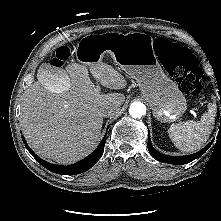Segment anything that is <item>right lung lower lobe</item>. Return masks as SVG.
I'll use <instances>...</instances> for the list:
<instances>
[{
	"mask_svg": "<svg viewBox=\"0 0 221 221\" xmlns=\"http://www.w3.org/2000/svg\"><path fill=\"white\" fill-rule=\"evenodd\" d=\"M22 140L25 144V147L30 152V154L46 169L62 175H76L83 173L90 169L92 166L96 164V162L101 158L103 152H104V145L106 143V137L102 139V141L99 143L98 147L95 149V151L84 158L83 160L72 164L68 166H61V165H55L48 163L44 160H42L40 157H38L31 148L26 144L25 138L22 136Z\"/></svg>",
	"mask_w": 221,
	"mask_h": 221,
	"instance_id": "98d812e1",
	"label": "right lung lower lobe"
}]
</instances>
